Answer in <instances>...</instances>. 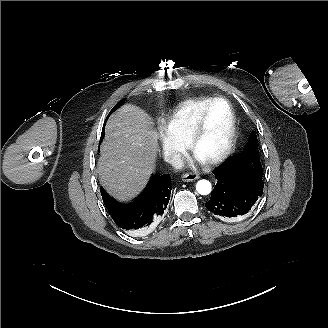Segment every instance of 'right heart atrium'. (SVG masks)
Segmentation results:
<instances>
[{
  "label": "right heart atrium",
  "mask_w": 328,
  "mask_h": 328,
  "mask_svg": "<svg viewBox=\"0 0 328 328\" xmlns=\"http://www.w3.org/2000/svg\"><path fill=\"white\" fill-rule=\"evenodd\" d=\"M149 135L166 162L175 164L181 160L185 146L171 141L158 124L151 126Z\"/></svg>",
  "instance_id": "d8ad5b80"
}]
</instances>
